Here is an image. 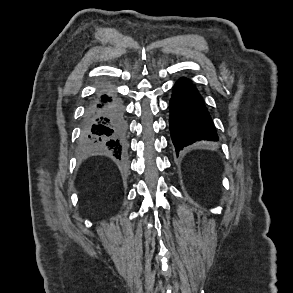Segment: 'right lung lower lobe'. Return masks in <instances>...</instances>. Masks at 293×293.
Returning a JSON list of instances; mask_svg holds the SVG:
<instances>
[{"label":"right lung lower lobe","instance_id":"obj_1","mask_svg":"<svg viewBox=\"0 0 293 293\" xmlns=\"http://www.w3.org/2000/svg\"><path fill=\"white\" fill-rule=\"evenodd\" d=\"M127 125L122 104L109 91L97 95L85 111L82 140L87 145L108 149L116 158L126 148Z\"/></svg>","mask_w":293,"mask_h":293}]
</instances>
